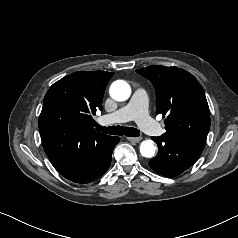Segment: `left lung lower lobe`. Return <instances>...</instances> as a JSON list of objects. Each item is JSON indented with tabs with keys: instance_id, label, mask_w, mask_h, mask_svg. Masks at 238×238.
<instances>
[{
	"instance_id": "left-lung-lower-lobe-1",
	"label": "left lung lower lobe",
	"mask_w": 238,
	"mask_h": 238,
	"mask_svg": "<svg viewBox=\"0 0 238 238\" xmlns=\"http://www.w3.org/2000/svg\"><path fill=\"white\" fill-rule=\"evenodd\" d=\"M158 144V154L149 161L157 173L174 177L193 165L200 157L203 148L167 137H152Z\"/></svg>"
}]
</instances>
